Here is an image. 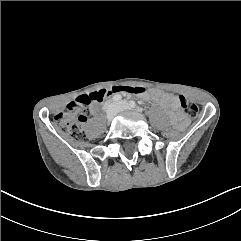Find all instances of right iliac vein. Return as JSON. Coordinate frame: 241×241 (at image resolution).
Returning <instances> with one entry per match:
<instances>
[{"instance_id": "obj_1", "label": "right iliac vein", "mask_w": 241, "mask_h": 241, "mask_svg": "<svg viewBox=\"0 0 241 241\" xmlns=\"http://www.w3.org/2000/svg\"><path fill=\"white\" fill-rule=\"evenodd\" d=\"M119 111V105L117 104H110L107 110V121L110 122L116 116Z\"/></svg>"}]
</instances>
